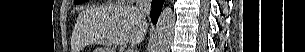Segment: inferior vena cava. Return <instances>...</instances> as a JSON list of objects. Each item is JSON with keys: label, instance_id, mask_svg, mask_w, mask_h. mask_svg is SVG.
<instances>
[{"label": "inferior vena cava", "instance_id": "1", "mask_svg": "<svg viewBox=\"0 0 305 52\" xmlns=\"http://www.w3.org/2000/svg\"><path fill=\"white\" fill-rule=\"evenodd\" d=\"M151 3H152V0H137V2H136V9L142 15L145 23H147L146 17L150 15Z\"/></svg>", "mask_w": 305, "mask_h": 52}]
</instances>
